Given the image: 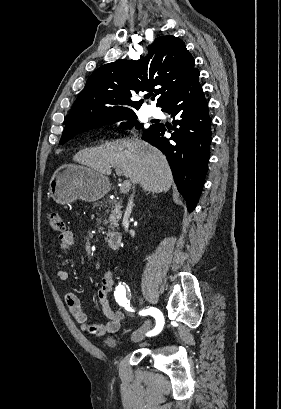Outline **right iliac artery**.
<instances>
[{"label": "right iliac artery", "mask_w": 281, "mask_h": 409, "mask_svg": "<svg viewBox=\"0 0 281 409\" xmlns=\"http://www.w3.org/2000/svg\"><path fill=\"white\" fill-rule=\"evenodd\" d=\"M114 297L116 299V302L125 308H128L130 306V298H131V292L128 286L125 285V283H119L116 286L115 292H114ZM140 315H151L156 319V327L148 333L149 336H153L158 334L164 324V319L162 313L154 307H150L148 309L140 311Z\"/></svg>", "instance_id": "82829eb1"}]
</instances>
